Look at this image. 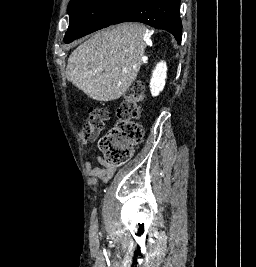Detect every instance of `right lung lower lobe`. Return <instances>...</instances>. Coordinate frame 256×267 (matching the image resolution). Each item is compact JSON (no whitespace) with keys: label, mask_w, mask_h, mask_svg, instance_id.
Masks as SVG:
<instances>
[{"label":"right lung lower lobe","mask_w":256,"mask_h":267,"mask_svg":"<svg viewBox=\"0 0 256 267\" xmlns=\"http://www.w3.org/2000/svg\"><path fill=\"white\" fill-rule=\"evenodd\" d=\"M180 0H138L126 13L112 24L142 22L154 28L166 30L181 43L182 25L179 16Z\"/></svg>","instance_id":"98d812e1"}]
</instances>
